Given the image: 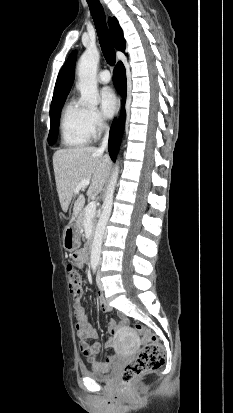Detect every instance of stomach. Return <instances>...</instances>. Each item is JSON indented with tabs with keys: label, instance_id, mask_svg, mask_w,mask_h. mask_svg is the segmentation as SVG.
Returning <instances> with one entry per match:
<instances>
[{
	"label": "stomach",
	"instance_id": "stomach-1",
	"mask_svg": "<svg viewBox=\"0 0 233 413\" xmlns=\"http://www.w3.org/2000/svg\"><path fill=\"white\" fill-rule=\"evenodd\" d=\"M80 229L77 224L72 223L66 227L63 235V247L71 252L79 245Z\"/></svg>",
	"mask_w": 233,
	"mask_h": 413
}]
</instances>
